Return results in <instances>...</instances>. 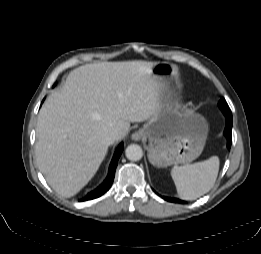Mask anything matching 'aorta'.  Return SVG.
<instances>
[{
    "mask_svg": "<svg viewBox=\"0 0 261 254\" xmlns=\"http://www.w3.org/2000/svg\"><path fill=\"white\" fill-rule=\"evenodd\" d=\"M125 155L131 161H138L143 156V150L139 145L131 144L126 148Z\"/></svg>",
    "mask_w": 261,
    "mask_h": 254,
    "instance_id": "762f6f07",
    "label": "aorta"
}]
</instances>
